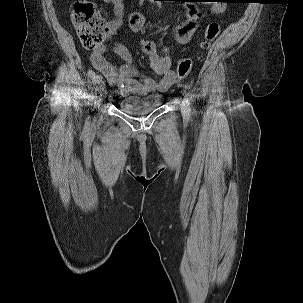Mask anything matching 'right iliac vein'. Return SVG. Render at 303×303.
Returning <instances> with one entry per match:
<instances>
[{"mask_svg":"<svg viewBox=\"0 0 303 303\" xmlns=\"http://www.w3.org/2000/svg\"><path fill=\"white\" fill-rule=\"evenodd\" d=\"M105 94H106V91L104 89L99 93V95L97 97V104H98V106H100V104H101V102H102L103 97L105 96Z\"/></svg>","mask_w":303,"mask_h":303,"instance_id":"63e3f726","label":"right iliac vein"}]
</instances>
